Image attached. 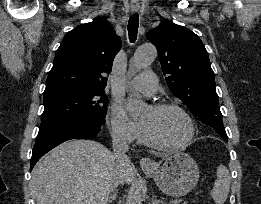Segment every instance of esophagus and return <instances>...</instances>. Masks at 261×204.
I'll return each instance as SVG.
<instances>
[{"label": "esophagus", "mask_w": 261, "mask_h": 204, "mask_svg": "<svg viewBox=\"0 0 261 204\" xmlns=\"http://www.w3.org/2000/svg\"><path fill=\"white\" fill-rule=\"evenodd\" d=\"M139 10V5H131V11L136 13ZM140 165L144 169H150L154 166V161L149 157H144L140 160Z\"/></svg>", "instance_id": "obj_1"}]
</instances>
